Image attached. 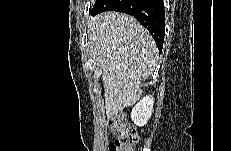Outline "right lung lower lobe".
<instances>
[{
    "mask_svg": "<svg viewBox=\"0 0 231 151\" xmlns=\"http://www.w3.org/2000/svg\"><path fill=\"white\" fill-rule=\"evenodd\" d=\"M120 11L134 16L153 36L159 52L164 42L165 10L163 0H96L90 15Z\"/></svg>",
    "mask_w": 231,
    "mask_h": 151,
    "instance_id": "right-lung-lower-lobe-1",
    "label": "right lung lower lobe"
}]
</instances>
